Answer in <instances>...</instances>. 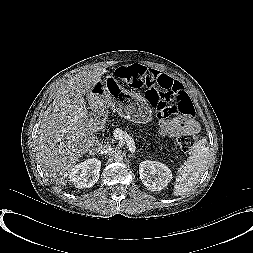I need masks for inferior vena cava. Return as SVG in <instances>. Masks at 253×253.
Returning a JSON list of instances; mask_svg holds the SVG:
<instances>
[{"label": "inferior vena cava", "mask_w": 253, "mask_h": 253, "mask_svg": "<svg viewBox=\"0 0 253 253\" xmlns=\"http://www.w3.org/2000/svg\"><path fill=\"white\" fill-rule=\"evenodd\" d=\"M104 152L105 153H110V152H112V148L108 147V148L104 149Z\"/></svg>", "instance_id": "602c4592"}]
</instances>
